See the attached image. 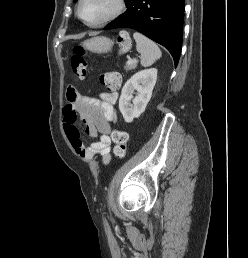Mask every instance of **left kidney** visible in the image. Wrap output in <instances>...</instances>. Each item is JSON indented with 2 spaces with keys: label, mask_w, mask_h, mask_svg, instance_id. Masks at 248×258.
<instances>
[{
  "label": "left kidney",
  "mask_w": 248,
  "mask_h": 258,
  "mask_svg": "<svg viewBox=\"0 0 248 258\" xmlns=\"http://www.w3.org/2000/svg\"><path fill=\"white\" fill-rule=\"evenodd\" d=\"M156 80L157 69L150 68L135 73L125 83L119 99V109L125 122L131 123L145 111L151 99ZM135 90L137 93L136 96L133 97Z\"/></svg>",
  "instance_id": "1"
}]
</instances>
